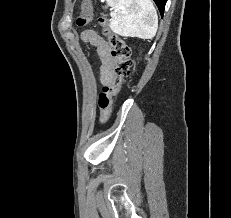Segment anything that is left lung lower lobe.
Returning <instances> with one entry per match:
<instances>
[{
    "label": "left lung lower lobe",
    "instance_id": "1",
    "mask_svg": "<svg viewBox=\"0 0 231 218\" xmlns=\"http://www.w3.org/2000/svg\"><path fill=\"white\" fill-rule=\"evenodd\" d=\"M166 1L167 0H154V2L156 3L160 13H161V16L163 15L164 13V8H165V4H166Z\"/></svg>",
    "mask_w": 231,
    "mask_h": 218
}]
</instances>
